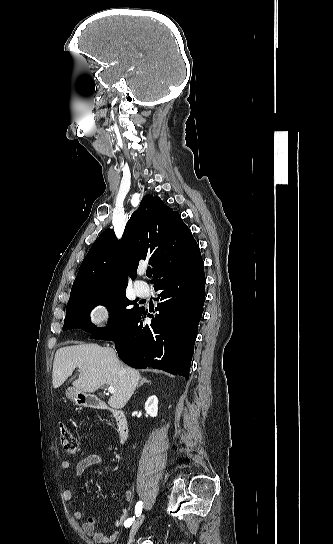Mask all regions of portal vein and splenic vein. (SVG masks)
<instances>
[{"label":"portal vein and splenic vein","instance_id":"1","mask_svg":"<svg viewBox=\"0 0 333 544\" xmlns=\"http://www.w3.org/2000/svg\"><path fill=\"white\" fill-rule=\"evenodd\" d=\"M108 392H110V393H112V394H113V393L115 392V389H114V387H112V386H109V387H108Z\"/></svg>","mask_w":333,"mask_h":544}]
</instances>
